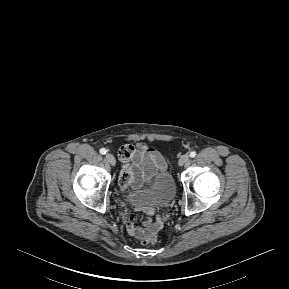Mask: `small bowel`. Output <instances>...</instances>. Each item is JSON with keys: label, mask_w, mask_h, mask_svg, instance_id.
<instances>
[{"label": "small bowel", "mask_w": 289, "mask_h": 289, "mask_svg": "<svg viewBox=\"0 0 289 289\" xmlns=\"http://www.w3.org/2000/svg\"><path fill=\"white\" fill-rule=\"evenodd\" d=\"M122 169L119 175L121 190L139 188L142 184L150 185L155 174L167 169V162L163 155L141 143L138 145L125 144L120 149ZM136 210H139L136 207ZM147 214H152L153 208H145ZM163 226V217L159 216L156 221L149 218L143 219L140 214L131 216L127 221V232L130 236L143 240L153 233H157Z\"/></svg>", "instance_id": "1"}]
</instances>
